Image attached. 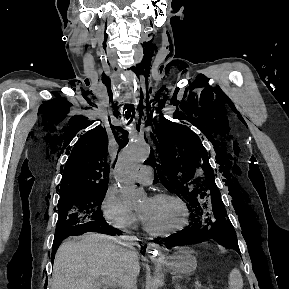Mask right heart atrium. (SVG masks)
<instances>
[{"label": "right heart atrium", "mask_w": 289, "mask_h": 289, "mask_svg": "<svg viewBox=\"0 0 289 289\" xmlns=\"http://www.w3.org/2000/svg\"><path fill=\"white\" fill-rule=\"evenodd\" d=\"M106 222L123 232L133 231L138 223L137 215L128 208L122 197L113 190H108L101 205Z\"/></svg>", "instance_id": "right-heart-atrium-1"}]
</instances>
